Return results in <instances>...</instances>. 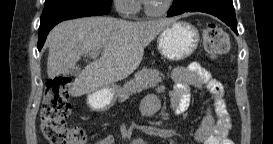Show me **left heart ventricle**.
I'll return each instance as SVG.
<instances>
[{
	"label": "left heart ventricle",
	"instance_id": "obj_1",
	"mask_svg": "<svg viewBox=\"0 0 273 144\" xmlns=\"http://www.w3.org/2000/svg\"><path fill=\"white\" fill-rule=\"evenodd\" d=\"M166 0H148L147 4L152 9L160 8Z\"/></svg>",
	"mask_w": 273,
	"mask_h": 144
}]
</instances>
